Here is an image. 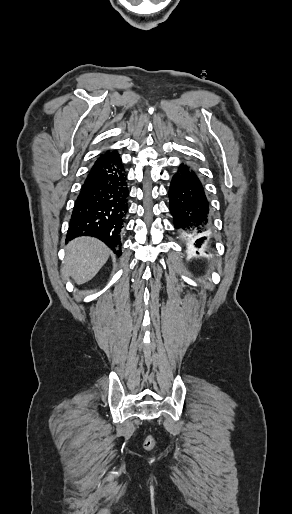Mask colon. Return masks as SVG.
I'll return each instance as SVG.
<instances>
[{"mask_svg": "<svg viewBox=\"0 0 292 514\" xmlns=\"http://www.w3.org/2000/svg\"><path fill=\"white\" fill-rule=\"evenodd\" d=\"M154 446H155V437L151 434L147 435V437L144 441V444H143V448L146 451H151V450H153Z\"/></svg>", "mask_w": 292, "mask_h": 514, "instance_id": "1", "label": "colon"}]
</instances>
